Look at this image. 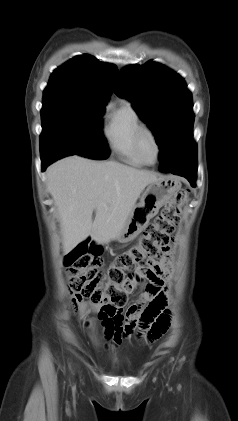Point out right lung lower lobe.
Instances as JSON below:
<instances>
[{"instance_id": "right-lung-lower-lobe-1", "label": "right lung lower lobe", "mask_w": 238, "mask_h": 421, "mask_svg": "<svg viewBox=\"0 0 238 421\" xmlns=\"http://www.w3.org/2000/svg\"><path fill=\"white\" fill-rule=\"evenodd\" d=\"M74 155L72 151L68 149H51L46 154L41 155L42 160V170L45 171L48 165L55 162L56 160L69 156Z\"/></svg>"}]
</instances>
